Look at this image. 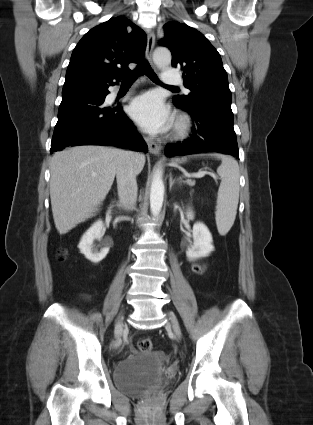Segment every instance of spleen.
<instances>
[{
    "instance_id": "obj_1",
    "label": "spleen",
    "mask_w": 313,
    "mask_h": 425,
    "mask_svg": "<svg viewBox=\"0 0 313 425\" xmlns=\"http://www.w3.org/2000/svg\"><path fill=\"white\" fill-rule=\"evenodd\" d=\"M221 159L222 163L217 169L221 177L218 190L215 219L220 235H226L234 224L239 202V165L237 161L228 155L214 154Z\"/></svg>"
}]
</instances>
